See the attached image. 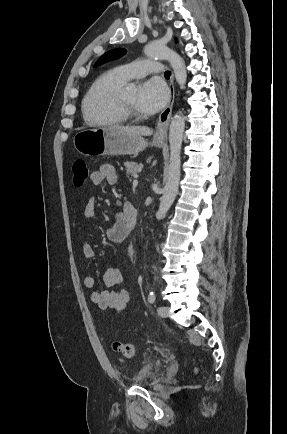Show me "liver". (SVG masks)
I'll return each mask as SVG.
<instances>
[{
  "instance_id": "liver-1",
  "label": "liver",
  "mask_w": 287,
  "mask_h": 434,
  "mask_svg": "<svg viewBox=\"0 0 287 434\" xmlns=\"http://www.w3.org/2000/svg\"><path fill=\"white\" fill-rule=\"evenodd\" d=\"M113 129L136 136H150L152 130L145 126H113Z\"/></svg>"
}]
</instances>
